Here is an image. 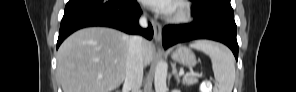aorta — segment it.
Returning <instances> with one entry per match:
<instances>
[{"mask_svg":"<svg viewBox=\"0 0 296 92\" xmlns=\"http://www.w3.org/2000/svg\"><path fill=\"white\" fill-rule=\"evenodd\" d=\"M166 79H167V64L165 61H158L154 75L155 92H166Z\"/></svg>","mask_w":296,"mask_h":92,"instance_id":"aorta-1","label":"aorta"}]
</instances>
